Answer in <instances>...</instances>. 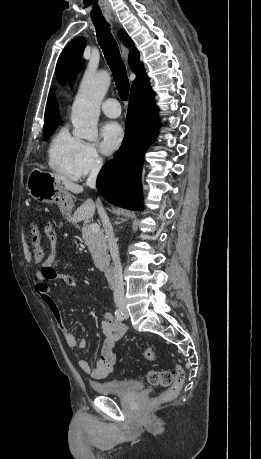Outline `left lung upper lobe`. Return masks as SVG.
Masks as SVG:
<instances>
[{
  "label": "left lung upper lobe",
  "instance_id": "left-lung-upper-lobe-1",
  "mask_svg": "<svg viewBox=\"0 0 261 459\" xmlns=\"http://www.w3.org/2000/svg\"><path fill=\"white\" fill-rule=\"evenodd\" d=\"M82 54L81 38L76 37L62 51L57 62L56 76L60 84H65L67 79L73 80L80 72L83 64Z\"/></svg>",
  "mask_w": 261,
  "mask_h": 459
}]
</instances>
